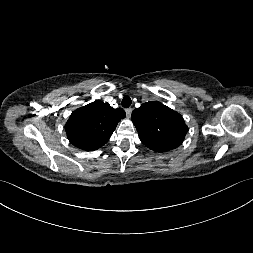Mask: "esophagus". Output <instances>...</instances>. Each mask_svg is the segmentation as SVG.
Listing matches in <instances>:
<instances>
[{"instance_id":"obj_1","label":"esophagus","mask_w":253,"mask_h":253,"mask_svg":"<svg viewBox=\"0 0 253 253\" xmlns=\"http://www.w3.org/2000/svg\"><path fill=\"white\" fill-rule=\"evenodd\" d=\"M125 112H126L127 117H130V116H131V113H132V108H127V109L125 110Z\"/></svg>"}]
</instances>
